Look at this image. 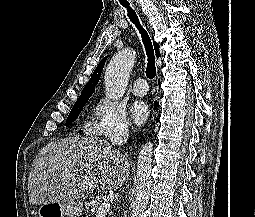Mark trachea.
<instances>
[{
	"instance_id": "1",
	"label": "trachea",
	"mask_w": 255,
	"mask_h": 217,
	"mask_svg": "<svg viewBox=\"0 0 255 217\" xmlns=\"http://www.w3.org/2000/svg\"><path fill=\"white\" fill-rule=\"evenodd\" d=\"M122 5L125 8H127L128 17H129L130 21H132L136 25V27L138 28V30H139V32L142 36V40H143L145 50H146V54H147V57H148V63H147V68H146V76L149 79H153L156 76V66H155L154 49H153L151 39L148 36V33L142 28L135 11L129 6L128 3H122Z\"/></svg>"
}]
</instances>
